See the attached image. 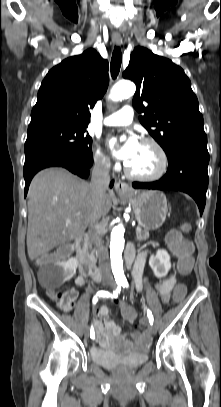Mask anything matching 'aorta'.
I'll list each match as a JSON object with an SVG mask.
<instances>
[{"mask_svg": "<svg viewBox=\"0 0 221 407\" xmlns=\"http://www.w3.org/2000/svg\"><path fill=\"white\" fill-rule=\"evenodd\" d=\"M136 90L135 85L130 81H121L113 86L110 91V99L112 101H121L124 98L134 95ZM124 233L125 228L123 224L115 226L111 232L110 240V257L111 268L116 281H122L125 279L123 271L122 252L124 250Z\"/></svg>", "mask_w": 221, "mask_h": 407, "instance_id": "1", "label": "aorta"}]
</instances>
